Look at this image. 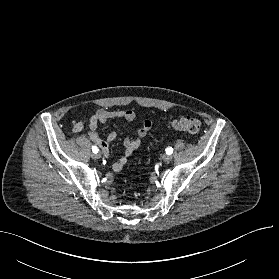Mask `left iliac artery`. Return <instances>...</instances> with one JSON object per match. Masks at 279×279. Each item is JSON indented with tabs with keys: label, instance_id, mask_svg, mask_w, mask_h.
<instances>
[{
	"label": "left iliac artery",
	"instance_id": "obj_1",
	"mask_svg": "<svg viewBox=\"0 0 279 279\" xmlns=\"http://www.w3.org/2000/svg\"><path fill=\"white\" fill-rule=\"evenodd\" d=\"M166 153L169 154V155L172 154L173 153V149L171 147L167 148L166 149Z\"/></svg>",
	"mask_w": 279,
	"mask_h": 279
}]
</instances>
